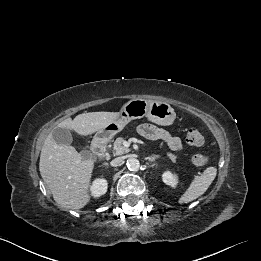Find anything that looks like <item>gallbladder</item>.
<instances>
[{
	"label": "gallbladder",
	"instance_id": "bac80fb5",
	"mask_svg": "<svg viewBox=\"0 0 261 261\" xmlns=\"http://www.w3.org/2000/svg\"><path fill=\"white\" fill-rule=\"evenodd\" d=\"M51 133L55 142L59 145H70L72 143V134L66 128L55 127ZM80 154L83 159H89L92 155L88 149L81 150Z\"/></svg>",
	"mask_w": 261,
	"mask_h": 261
}]
</instances>
